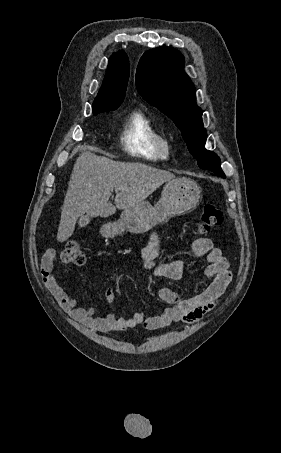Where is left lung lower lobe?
Returning <instances> with one entry per match:
<instances>
[{
  "instance_id": "0a47b994",
  "label": "left lung lower lobe",
  "mask_w": 281,
  "mask_h": 453,
  "mask_svg": "<svg viewBox=\"0 0 281 453\" xmlns=\"http://www.w3.org/2000/svg\"><path fill=\"white\" fill-rule=\"evenodd\" d=\"M217 175L220 176V177L225 178V174L224 173L223 174H217Z\"/></svg>"
}]
</instances>
